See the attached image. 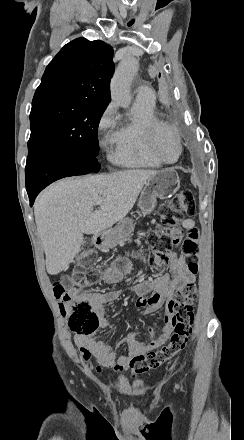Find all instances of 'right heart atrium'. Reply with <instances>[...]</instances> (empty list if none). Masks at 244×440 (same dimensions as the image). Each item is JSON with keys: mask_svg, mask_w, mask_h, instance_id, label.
Segmentation results:
<instances>
[{"mask_svg": "<svg viewBox=\"0 0 244 440\" xmlns=\"http://www.w3.org/2000/svg\"><path fill=\"white\" fill-rule=\"evenodd\" d=\"M117 119V105L112 101L103 110L97 122V131L104 138V144L108 143L109 132L116 125Z\"/></svg>", "mask_w": 244, "mask_h": 440, "instance_id": "1", "label": "right heart atrium"}]
</instances>
